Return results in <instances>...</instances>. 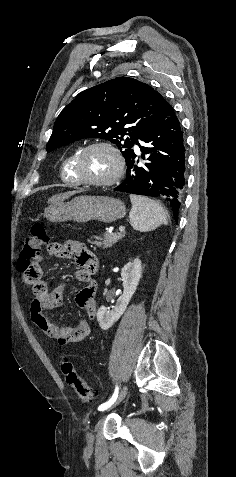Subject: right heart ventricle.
I'll list each match as a JSON object with an SVG mask.
<instances>
[{
    "instance_id": "e07e8e85",
    "label": "right heart ventricle",
    "mask_w": 236,
    "mask_h": 477,
    "mask_svg": "<svg viewBox=\"0 0 236 477\" xmlns=\"http://www.w3.org/2000/svg\"><path fill=\"white\" fill-rule=\"evenodd\" d=\"M79 152H80V148H76L73 151H71L67 155V157L63 160L61 168H60V177L62 181L69 185L80 184L75 176L74 169H73L75 159Z\"/></svg>"
}]
</instances>
